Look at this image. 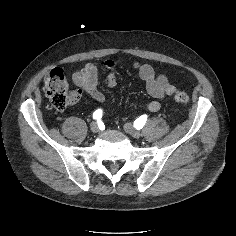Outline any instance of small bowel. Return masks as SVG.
<instances>
[{"mask_svg": "<svg viewBox=\"0 0 236 236\" xmlns=\"http://www.w3.org/2000/svg\"><path fill=\"white\" fill-rule=\"evenodd\" d=\"M106 65L110 69L107 87L113 88L116 85V77L113 72L114 62L107 61ZM132 67L137 71L139 77L145 82L148 94L154 98L149 104L148 109L156 112L160 109L159 99L171 96L175 93V87L169 82L164 74L156 73L152 66L140 62H133ZM73 83L79 87L70 94V104H75L85 93L99 103L105 101V96L97 88L98 68L95 64L88 63L79 71L72 75Z\"/></svg>", "mask_w": 236, "mask_h": 236, "instance_id": "c3829d8e", "label": "small bowel"}]
</instances>
